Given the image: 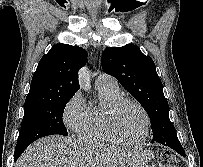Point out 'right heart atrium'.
Returning a JSON list of instances; mask_svg holds the SVG:
<instances>
[{
  "instance_id": "1",
  "label": "right heart atrium",
  "mask_w": 203,
  "mask_h": 167,
  "mask_svg": "<svg viewBox=\"0 0 203 167\" xmlns=\"http://www.w3.org/2000/svg\"><path fill=\"white\" fill-rule=\"evenodd\" d=\"M86 113L84 100L79 92H76L65 104L62 119L65 126L78 132Z\"/></svg>"
}]
</instances>
